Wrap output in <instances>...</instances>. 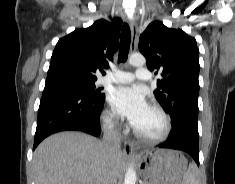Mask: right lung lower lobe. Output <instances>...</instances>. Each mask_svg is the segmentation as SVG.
<instances>
[{
  "label": "right lung lower lobe",
  "mask_w": 235,
  "mask_h": 184,
  "mask_svg": "<svg viewBox=\"0 0 235 184\" xmlns=\"http://www.w3.org/2000/svg\"><path fill=\"white\" fill-rule=\"evenodd\" d=\"M104 99H95L62 82L45 85L38 110L33 150L47 136L60 131H82L99 136Z\"/></svg>",
  "instance_id": "98d812e1"
}]
</instances>
